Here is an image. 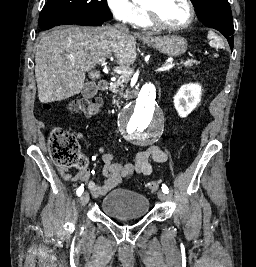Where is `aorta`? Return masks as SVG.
<instances>
[{
    "instance_id": "obj_1",
    "label": "aorta",
    "mask_w": 256,
    "mask_h": 267,
    "mask_svg": "<svg viewBox=\"0 0 256 267\" xmlns=\"http://www.w3.org/2000/svg\"><path fill=\"white\" fill-rule=\"evenodd\" d=\"M155 97L153 86H146L138 101L125 108L124 117H118L119 127H161L165 117H161L162 108L154 104ZM121 133H127L130 143H160V128H121Z\"/></svg>"
}]
</instances>
